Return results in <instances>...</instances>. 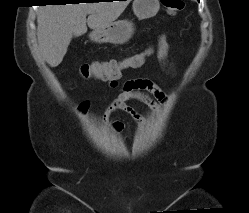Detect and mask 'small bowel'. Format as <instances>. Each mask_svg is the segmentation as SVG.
<instances>
[{"label": "small bowel", "instance_id": "c3829d8e", "mask_svg": "<svg viewBox=\"0 0 249 213\" xmlns=\"http://www.w3.org/2000/svg\"><path fill=\"white\" fill-rule=\"evenodd\" d=\"M168 49L169 44L167 39L165 37H161L158 42L156 55L162 68L165 71L172 73L173 67L167 58ZM134 57L135 55L129 56L124 58L123 60L131 62L129 67H138L142 65L145 57L141 58L137 62H134ZM119 79L120 75L115 78L109 79L110 86L116 87L118 85ZM131 100L143 103L153 112H159V104L165 103L167 101V95L160 89L157 84L150 80H127L123 83L122 90L119 95L107 106L104 112V120H107L113 112L120 110L128 114L138 124L139 127H142L144 123L143 117L132 105L129 104V101ZM88 108V102H84L79 106V112L85 113ZM123 128L124 123L120 120H117L112 124V129L115 131H121Z\"/></svg>", "mask_w": 249, "mask_h": 213}]
</instances>
